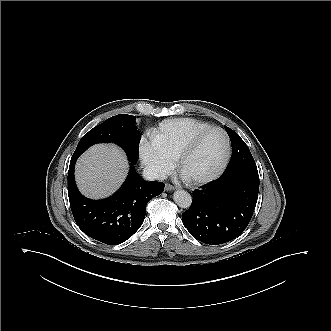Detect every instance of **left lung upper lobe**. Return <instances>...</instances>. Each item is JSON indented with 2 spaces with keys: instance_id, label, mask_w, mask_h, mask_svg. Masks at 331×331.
Wrapping results in <instances>:
<instances>
[{
  "instance_id": "5c2ea615",
  "label": "left lung upper lobe",
  "mask_w": 331,
  "mask_h": 331,
  "mask_svg": "<svg viewBox=\"0 0 331 331\" xmlns=\"http://www.w3.org/2000/svg\"><path fill=\"white\" fill-rule=\"evenodd\" d=\"M225 129L231 139L232 155L231 160L225 171H233L239 169L257 171L256 163L249 151L248 146L240 138V136L229 127Z\"/></svg>"
}]
</instances>
